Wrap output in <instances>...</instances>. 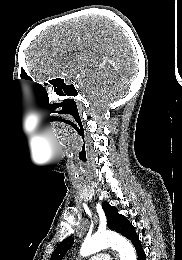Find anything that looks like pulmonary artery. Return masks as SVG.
<instances>
[{"label":"pulmonary artery","instance_id":"1","mask_svg":"<svg viewBox=\"0 0 182 260\" xmlns=\"http://www.w3.org/2000/svg\"><path fill=\"white\" fill-rule=\"evenodd\" d=\"M89 260H109V256L107 254H97L91 257Z\"/></svg>","mask_w":182,"mask_h":260}]
</instances>
